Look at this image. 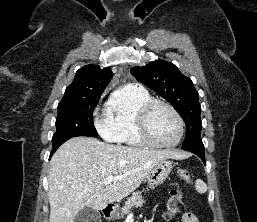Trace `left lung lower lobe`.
<instances>
[{"instance_id": "1", "label": "left lung lower lobe", "mask_w": 257, "mask_h": 222, "mask_svg": "<svg viewBox=\"0 0 257 222\" xmlns=\"http://www.w3.org/2000/svg\"><path fill=\"white\" fill-rule=\"evenodd\" d=\"M190 152H192V153L196 154L197 156H199L201 158V160L203 161V163L206 165L204 151H190Z\"/></svg>"}]
</instances>
